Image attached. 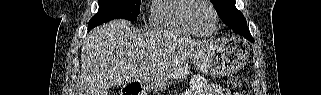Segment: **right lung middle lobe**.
Returning <instances> with one entry per match:
<instances>
[{
	"label": "right lung middle lobe",
	"mask_w": 321,
	"mask_h": 95,
	"mask_svg": "<svg viewBox=\"0 0 321 95\" xmlns=\"http://www.w3.org/2000/svg\"><path fill=\"white\" fill-rule=\"evenodd\" d=\"M141 0H99V10L88 23V30L110 20L123 18L135 21Z\"/></svg>",
	"instance_id": "obj_1"
}]
</instances>
